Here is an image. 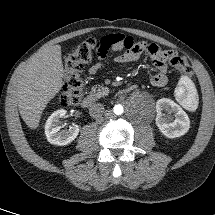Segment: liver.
<instances>
[{
    "mask_svg": "<svg viewBox=\"0 0 215 215\" xmlns=\"http://www.w3.org/2000/svg\"><path fill=\"white\" fill-rule=\"evenodd\" d=\"M63 63L61 46L41 48L14 77L18 109L31 129L39 125L46 105L62 87Z\"/></svg>",
    "mask_w": 215,
    "mask_h": 215,
    "instance_id": "liver-1",
    "label": "liver"
}]
</instances>
